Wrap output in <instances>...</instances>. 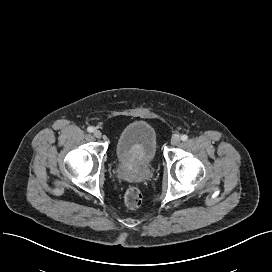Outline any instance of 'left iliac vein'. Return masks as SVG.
Instances as JSON below:
<instances>
[{
  "label": "left iliac vein",
  "instance_id": "1",
  "mask_svg": "<svg viewBox=\"0 0 272 272\" xmlns=\"http://www.w3.org/2000/svg\"><path fill=\"white\" fill-rule=\"evenodd\" d=\"M180 143V137L179 136H173L172 139H171V144L173 146H176Z\"/></svg>",
  "mask_w": 272,
  "mask_h": 272
}]
</instances>
